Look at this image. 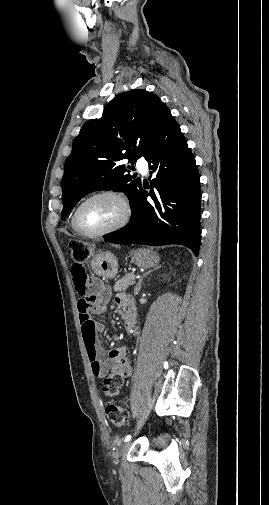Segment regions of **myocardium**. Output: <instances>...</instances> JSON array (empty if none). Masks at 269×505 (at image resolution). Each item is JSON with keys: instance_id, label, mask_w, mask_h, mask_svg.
<instances>
[{"instance_id": "f54148a6", "label": "myocardium", "mask_w": 269, "mask_h": 505, "mask_svg": "<svg viewBox=\"0 0 269 505\" xmlns=\"http://www.w3.org/2000/svg\"><path fill=\"white\" fill-rule=\"evenodd\" d=\"M100 197H112V198L118 200L120 202V204L122 205L123 213H122L120 220L117 223H115L114 225H112L111 227L101 230V231H89V230L85 229L80 223V219H79L80 212H81L82 208L87 203H89L90 201H92L94 199L100 198ZM130 217H131V206H130V203H129L127 197L124 194H122L121 192L115 191V190H102V191H98V192L90 195L89 197L84 199L78 205V207L76 208V210L74 212L73 221H74L75 228L77 229V231L80 234H82L86 237L96 238V237H102V236L114 233V232L122 229L129 222Z\"/></svg>"}]
</instances>
